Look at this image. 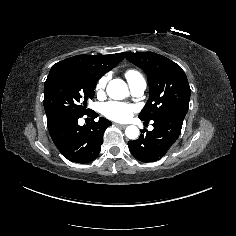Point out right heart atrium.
Returning a JSON list of instances; mask_svg holds the SVG:
<instances>
[{"label": "right heart atrium", "mask_w": 236, "mask_h": 236, "mask_svg": "<svg viewBox=\"0 0 236 236\" xmlns=\"http://www.w3.org/2000/svg\"><path fill=\"white\" fill-rule=\"evenodd\" d=\"M106 84H107V78L106 77L101 78L97 82L96 87H95V93L98 97H100L104 94Z\"/></svg>", "instance_id": "right-heart-atrium-1"}]
</instances>
